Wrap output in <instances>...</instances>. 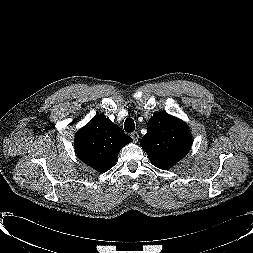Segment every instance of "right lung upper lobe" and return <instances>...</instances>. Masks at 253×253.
<instances>
[{
    "instance_id": "right-lung-upper-lobe-1",
    "label": "right lung upper lobe",
    "mask_w": 253,
    "mask_h": 253,
    "mask_svg": "<svg viewBox=\"0 0 253 253\" xmlns=\"http://www.w3.org/2000/svg\"><path fill=\"white\" fill-rule=\"evenodd\" d=\"M131 141L119 126L100 115L77 132L74 148L80 160L103 173L115 165L120 149Z\"/></svg>"
}]
</instances>
